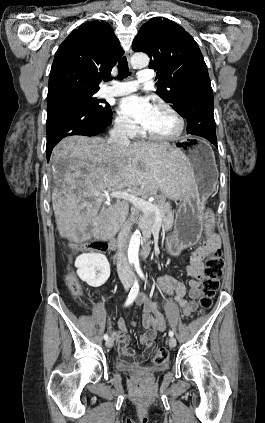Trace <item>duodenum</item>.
<instances>
[{
    "label": "duodenum",
    "mask_w": 265,
    "mask_h": 423,
    "mask_svg": "<svg viewBox=\"0 0 265 423\" xmlns=\"http://www.w3.org/2000/svg\"><path fill=\"white\" fill-rule=\"evenodd\" d=\"M117 248H118L117 247V242L115 240H113L111 242V249L113 251H116ZM150 254H151V246H150L149 243H145L144 246H143V249H142V256L143 257H148Z\"/></svg>",
    "instance_id": "410a0bca"
}]
</instances>
